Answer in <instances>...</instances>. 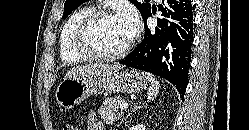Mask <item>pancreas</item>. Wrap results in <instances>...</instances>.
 Masks as SVG:
<instances>
[{"label": "pancreas", "instance_id": "cf45deb5", "mask_svg": "<svg viewBox=\"0 0 249 130\" xmlns=\"http://www.w3.org/2000/svg\"><path fill=\"white\" fill-rule=\"evenodd\" d=\"M124 100L122 98H106L98 109V113L101 116V119L106 124H112L118 117L122 114L120 112V104H122Z\"/></svg>", "mask_w": 249, "mask_h": 130}]
</instances>
